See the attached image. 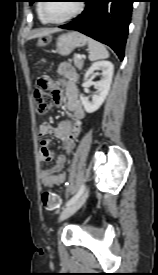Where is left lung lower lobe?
Masks as SVG:
<instances>
[{
  "label": "left lung lower lobe",
  "instance_id": "1",
  "mask_svg": "<svg viewBox=\"0 0 158 275\" xmlns=\"http://www.w3.org/2000/svg\"><path fill=\"white\" fill-rule=\"evenodd\" d=\"M85 10L64 29L79 31L110 46L123 60L134 0H86Z\"/></svg>",
  "mask_w": 158,
  "mask_h": 275
}]
</instances>
